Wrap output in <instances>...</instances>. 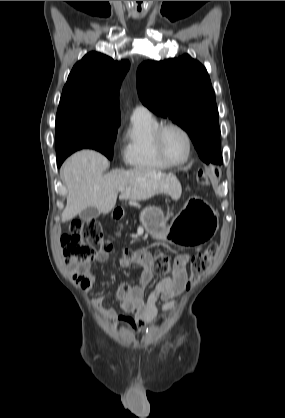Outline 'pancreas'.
<instances>
[{
	"label": "pancreas",
	"mask_w": 285,
	"mask_h": 418,
	"mask_svg": "<svg viewBox=\"0 0 285 418\" xmlns=\"http://www.w3.org/2000/svg\"><path fill=\"white\" fill-rule=\"evenodd\" d=\"M171 215H172V213L171 212H168L167 217H170Z\"/></svg>",
	"instance_id": "pancreas-1"
}]
</instances>
